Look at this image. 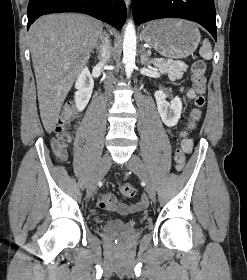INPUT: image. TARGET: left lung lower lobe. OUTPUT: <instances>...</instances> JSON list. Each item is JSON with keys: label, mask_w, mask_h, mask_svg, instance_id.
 Masks as SVG:
<instances>
[{"label": "left lung lower lobe", "mask_w": 247, "mask_h": 280, "mask_svg": "<svg viewBox=\"0 0 247 280\" xmlns=\"http://www.w3.org/2000/svg\"><path fill=\"white\" fill-rule=\"evenodd\" d=\"M132 9L136 24L152 19L183 18L201 24L217 38L214 0H133Z\"/></svg>", "instance_id": "0a47b994"}]
</instances>
